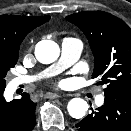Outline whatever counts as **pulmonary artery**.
<instances>
[{"mask_svg": "<svg viewBox=\"0 0 131 131\" xmlns=\"http://www.w3.org/2000/svg\"><path fill=\"white\" fill-rule=\"evenodd\" d=\"M81 51H82V42L79 39L73 37L64 38L61 43V56L59 61L55 65L48 68L43 74H41V76L52 75L69 67L78 60ZM36 78L37 76L18 77L14 80V84L18 85L23 83H29L35 80ZM103 101H104L103 95L100 94L96 97L97 104L100 105L103 103Z\"/></svg>", "mask_w": 131, "mask_h": 131, "instance_id": "1", "label": "pulmonary artery"}]
</instances>
